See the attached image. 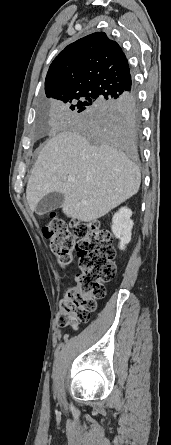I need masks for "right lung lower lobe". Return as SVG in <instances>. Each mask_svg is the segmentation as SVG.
<instances>
[{"mask_svg": "<svg viewBox=\"0 0 171 445\" xmlns=\"http://www.w3.org/2000/svg\"><path fill=\"white\" fill-rule=\"evenodd\" d=\"M95 111L93 125L97 139L137 157L138 114L135 92L124 98L104 97Z\"/></svg>", "mask_w": 171, "mask_h": 445, "instance_id": "right-lung-lower-lobe-1", "label": "right lung lower lobe"}]
</instances>
